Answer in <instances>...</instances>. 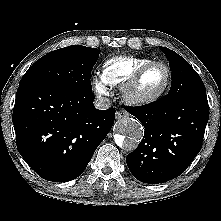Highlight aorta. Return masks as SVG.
I'll list each match as a JSON object with an SVG mask.
<instances>
[{
	"label": "aorta",
	"instance_id": "762f6f07",
	"mask_svg": "<svg viewBox=\"0 0 221 221\" xmlns=\"http://www.w3.org/2000/svg\"><path fill=\"white\" fill-rule=\"evenodd\" d=\"M117 134L114 135L115 143L128 151L137 148L144 135L142 124L133 118H124L116 125Z\"/></svg>",
	"mask_w": 221,
	"mask_h": 221
}]
</instances>
